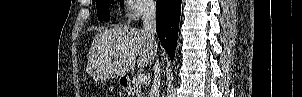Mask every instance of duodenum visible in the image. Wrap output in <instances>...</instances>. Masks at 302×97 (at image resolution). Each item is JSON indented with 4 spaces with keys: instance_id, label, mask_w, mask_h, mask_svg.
I'll return each instance as SVG.
<instances>
[{
    "instance_id": "1",
    "label": "duodenum",
    "mask_w": 302,
    "mask_h": 97,
    "mask_svg": "<svg viewBox=\"0 0 302 97\" xmlns=\"http://www.w3.org/2000/svg\"><path fill=\"white\" fill-rule=\"evenodd\" d=\"M121 85L127 90L129 91L131 89L130 83L126 80V79H122L121 80Z\"/></svg>"
}]
</instances>
